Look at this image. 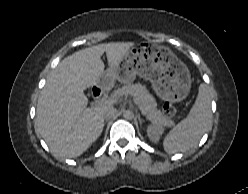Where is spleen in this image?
Returning <instances> with one entry per match:
<instances>
[{"instance_id":"obj_1","label":"spleen","mask_w":248,"mask_h":194,"mask_svg":"<svg viewBox=\"0 0 248 194\" xmlns=\"http://www.w3.org/2000/svg\"><path fill=\"white\" fill-rule=\"evenodd\" d=\"M211 126V96L206 84H200L198 96L187 118L179 122L163 140L168 154L194 147Z\"/></svg>"}]
</instances>
